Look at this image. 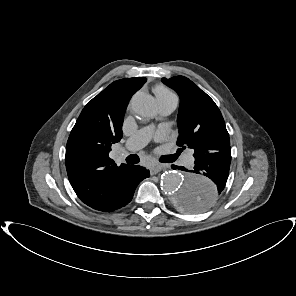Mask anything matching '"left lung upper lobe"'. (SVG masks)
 Segmentation results:
<instances>
[{"mask_svg":"<svg viewBox=\"0 0 296 296\" xmlns=\"http://www.w3.org/2000/svg\"><path fill=\"white\" fill-rule=\"evenodd\" d=\"M162 81L180 96L177 117L180 131L178 146L194 149L195 159L231 149L229 134L221 112L205 92L184 76L162 78ZM182 208H184V202H182Z\"/></svg>","mask_w":296,"mask_h":296,"instance_id":"5c2ea615","label":"left lung upper lobe"}]
</instances>
